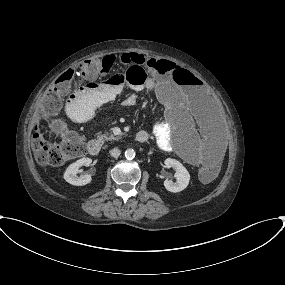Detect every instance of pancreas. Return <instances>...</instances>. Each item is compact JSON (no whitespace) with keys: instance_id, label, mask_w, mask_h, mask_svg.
<instances>
[{"instance_id":"1","label":"pancreas","mask_w":285,"mask_h":285,"mask_svg":"<svg viewBox=\"0 0 285 285\" xmlns=\"http://www.w3.org/2000/svg\"><path fill=\"white\" fill-rule=\"evenodd\" d=\"M98 138L101 140V141H113V140H117L119 137H116L114 135H109L108 133L106 134H102V135H99Z\"/></svg>"}]
</instances>
